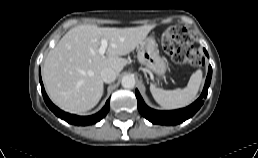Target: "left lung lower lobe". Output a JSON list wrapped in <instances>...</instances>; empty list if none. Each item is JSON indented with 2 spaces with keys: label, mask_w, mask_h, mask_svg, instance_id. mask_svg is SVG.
Returning a JSON list of instances; mask_svg holds the SVG:
<instances>
[{
  "label": "left lung lower lobe",
  "mask_w": 258,
  "mask_h": 158,
  "mask_svg": "<svg viewBox=\"0 0 258 158\" xmlns=\"http://www.w3.org/2000/svg\"><path fill=\"white\" fill-rule=\"evenodd\" d=\"M205 54L208 56L207 51L204 49ZM204 61V59H203ZM212 68L209 66L208 75L206 78L205 86L201 96L190 106L178 110L172 111H158L149 108L143 101L138 90L135 91V95L138 101V110L140 114L153 124L160 125H177L183 121L191 118L202 106L204 99L207 97L208 88L211 82Z\"/></svg>",
  "instance_id": "left-lung-lower-lobe-1"
}]
</instances>
